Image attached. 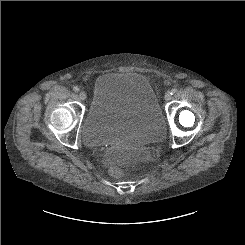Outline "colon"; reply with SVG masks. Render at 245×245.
Wrapping results in <instances>:
<instances>
[{"label": "colon", "instance_id": "1", "mask_svg": "<svg viewBox=\"0 0 245 245\" xmlns=\"http://www.w3.org/2000/svg\"><path fill=\"white\" fill-rule=\"evenodd\" d=\"M110 173L114 176H121L123 171L120 167L114 165L110 168Z\"/></svg>", "mask_w": 245, "mask_h": 245}]
</instances>
